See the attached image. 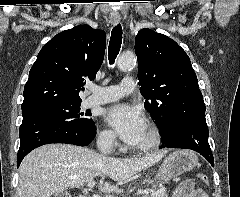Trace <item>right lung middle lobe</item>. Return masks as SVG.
Returning a JSON list of instances; mask_svg holds the SVG:
<instances>
[{"instance_id":"dd1d6c3e","label":"right lung middle lobe","mask_w":240,"mask_h":197,"mask_svg":"<svg viewBox=\"0 0 240 197\" xmlns=\"http://www.w3.org/2000/svg\"><path fill=\"white\" fill-rule=\"evenodd\" d=\"M81 102H51L40 106L22 110V115L26 113L47 114L73 125L81 131H89L95 125L90 114L80 112Z\"/></svg>"}]
</instances>
